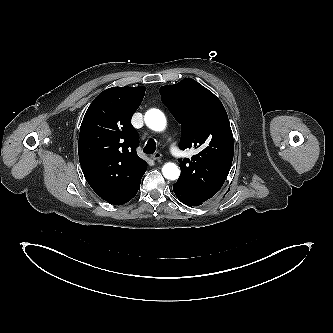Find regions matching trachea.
<instances>
[{"instance_id": "3493384b", "label": "trachea", "mask_w": 333, "mask_h": 333, "mask_svg": "<svg viewBox=\"0 0 333 333\" xmlns=\"http://www.w3.org/2000/svg\"><path fill=\"white\" fill-rule=\"evenodd\" d=\"M155 150H156V143H155V141L153 139H149L147 141V144L145 145L143 151L146 154H153L155 152Z\"/></svg>"}]
</instances>
